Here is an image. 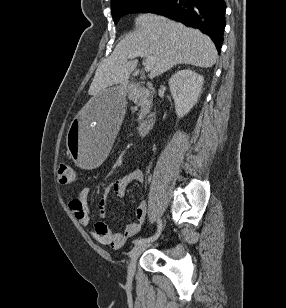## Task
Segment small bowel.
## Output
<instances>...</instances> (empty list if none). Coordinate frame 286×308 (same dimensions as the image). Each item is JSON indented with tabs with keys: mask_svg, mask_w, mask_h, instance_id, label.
Masks as SVG:
<instances>
[{
	"mask_svg": "<svg viewBox=\"0 0 286 308\" xmlns=\"http://www.w3.org/2000/svg\"><path fill=\"white\" fill-rule=\"evenodd\" d=\"M133 181L138 183H142L144 181V174L141 169L134 168L117 178L105 189L104 194L106 195L111 191L116 197L121 198L125 194L127 185ZM88 195L89 189L84 187L80 190L78 196L71 199L68 204L72 214L83 226H88L90 224V216L87 207ZM104 209L105 199L103 198L100 202V210L102 215L104 214ZM146 213L147 210L145 204L140 203L134 212V216L138 222L126 224L122 232H113L106 223L99 221L95 225L92 236L96 241L103 245L119 249L123 247L128 238L136 235L141 230L142 223H144L146 219Z\"/></svg>",
	"mask_w": 286,
	"mask_h": 308,
	"instance_id": "obj_1",
	"label": "small bowel"
}]
</instances>
